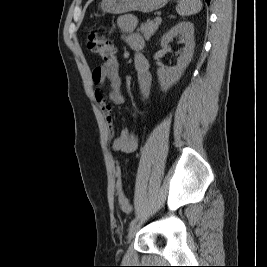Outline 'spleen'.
Returning <instances> with one entry per match:
<instances>
[{"mask_svg": "<svg viewBox=\"0 0 267 267\" xmlns=\"http://www.w3.org/2000/svg\"><path fill=\"white\" fill-rule=\"evenodd\" d=\"M202 9L200 0H180L176 7V12L180 16H190L198 13Z\"/></svg>", "mask_w": 267, "mask_h": 267, "instance_id": "obj_1", "label": "spleen"}]
</instances>
